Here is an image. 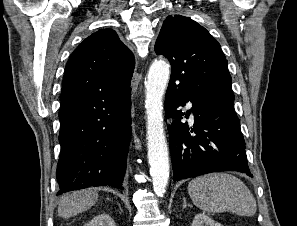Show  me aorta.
<instances>
[{"label":"aorta","instance_id":"obj_1","mask_svg":"<svg viewBox=\"0 0 297 226\" xmlns=\"http://www.w3.org/2000/svg\"><path fill=\"white\" fill-rule=\"evenodd\" d=\"M169 79V65L155 60L146 83L147 147L154 192L163 196L169 179V158L163 128V96Z\"/></svg>","mask_w":297,"mask_h":226}]
</instances>
